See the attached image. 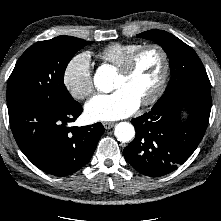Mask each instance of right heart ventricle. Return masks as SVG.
I'll use <instances>...</instances> for the list:
<instances>
[{
	"mask_svg": "<svg viewBox=\"0 0 221 221\" xmlns=\"http://www.w3.org/2000/svg\"><path fill=\"white\" fill-rule=\"evenodd\" d=\"M140 46H142L140 43L115 42L105 46L98 52L97 56L103 62L119 68L127 57Z\"/></svg>",
	"mask_w": 221,
	"mask_h": 221,
	"instance_id": "obj_1",
	"label": "right heart ventricle"
}]
</instances>
